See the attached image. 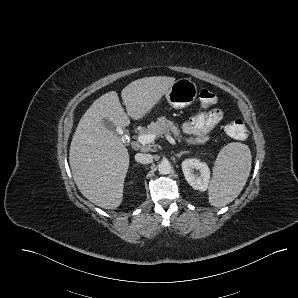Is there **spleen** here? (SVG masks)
<instances>
[{
    "instance_id": "obj_1",
    "label": "spleen",
    "mask_w": 298,
    "mask_h": 298,
    "mask_svg": "<svg viewBox=\"0 0 298 298\" xmlns=\"http://www.w3.org/2000/svg\"><path fill=\"white\" fill-rule=\"evenodd\" d=\"M250 149L241 143H230L218 154L209 187L214 207H222L235 199L243 189L251 170Z\"/></svg>"
}]
</instances>
